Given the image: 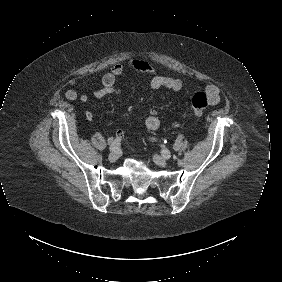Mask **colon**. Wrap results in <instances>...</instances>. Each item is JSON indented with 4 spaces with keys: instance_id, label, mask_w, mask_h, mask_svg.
<instances>
[{
    "instance_id": "colon-1",
    "label": "colon",
    "mask_w": 282,
    "mask_h": 282,
    "mask_svg": "<svg viewBox=\"0 0 282 282\" xmlns=\"http://www.w3.org/2000/svg\"><path fill=\"white\" fill-rule=\"evenodd\" d=\"M212 101L205 92L195 93L191 102L192 112L195 115L201 114Z\"/></svg>"
}]
</instances>
